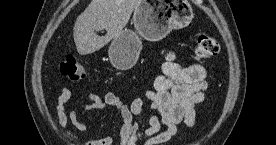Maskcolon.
<instances>
[{
	"label": "colon",
	"mask_w": 276,
	"mask_h": 145,
	"mask_svg": "<svg viewBox=\"0 0 276 145\" xmlns=\"http://www.w3.org/2000/svg\"><path fill=\"white\" fill-rule=\"evenodd\" d=\"M220 50V45L213 37L199 33L196 36L195 55L199 60L208 59L215 56ZM59 70L62 76L71 80H81L86 74L74 56H67L60 62Z\"/></svg>",
	"instance_id": "5ec220e1"
}]
</instances>
